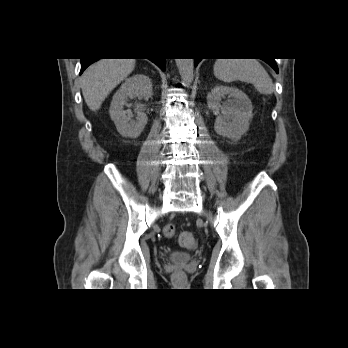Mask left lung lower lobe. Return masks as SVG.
I'll return each mask as SVG.
<instances>
[{
    "instance_id": "1",
    "label": "left lung lower lobe",
    "mask_w": 348,
    "mask_h": 348,
    "mask_svg": "<svg viewBox=\"0 0 348 348\" xmlns=\"http://www.w3.org/2000/svg\"><path fill=\"white\" fill-rule=\"evenodd\" d=\"M200 60L201 59H198V58L195 59V66H197ZM264 61L267 62L278 73V67L274 59L264 60Z\"/></svg>"
}]
</instances>
